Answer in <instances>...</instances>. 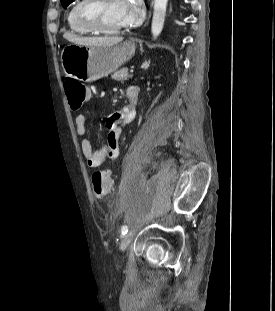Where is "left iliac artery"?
I'll use <instances>...</instances> for the list:
<instances>
[{
    "instance_id": "1",
    "label": "left iliac artery",
    "mask_w": 275,
    "mask_h": 311,
    "mask_svg": "<svg viewBox=\"0 0 275 311\" xmlns=\"http://www.w3.org/2000/svg\"><path fill=\"white\" fill-rule=\"evenodd\" d=\"M128 232V226L127 225H123L121 228V234L125 235Z\"/></svg>"
}]
</instances>
